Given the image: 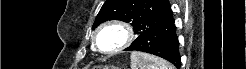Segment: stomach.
<instances>
[{
    "instance_id": "0dacf381",
    "label": "stomach",
    "mask_w": 246,
    "mask_h": 69,
    "mask_svg": "<svg viewBox=\"0 0 246 69\" xmlns=\"http://www.w3.org/2000/svg\"><path fill=\"white\" fill-rule=\"evenodd\" d=\"M97 69H109V68L108 67H103V68L99 67Z\"/></svg>"
}]
</instances>
